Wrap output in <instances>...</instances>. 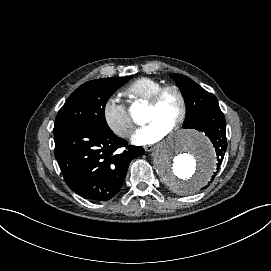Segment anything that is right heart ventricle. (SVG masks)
<instances>
[{"mask_svg": "<svg viewBox=\"0 0 271 271\" xmlns=\"http://www.w3.org/2000/svg\"><path fill=\"white\" fill-rule=\"evenodd\" d=\"M162 85L163 82L155 78L140 77L125 88V93L133 98L135 102L148 103Z\"/></svg>", "mask_w": 271, "mask_h": 271, "instance_id": "1", "label": "right heart ventricle"}]
</instances>
